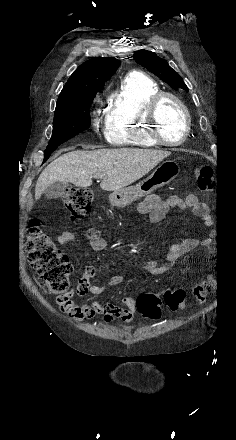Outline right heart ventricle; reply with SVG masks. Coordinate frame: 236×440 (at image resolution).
Listing matches in <instances>:
<instances>
[{
	"label": "right heart ventricle",
	"instance_id": "obj_1",
	"mask_svg": "<svg viewBox=\"0 0 236 440\" xmlns=\"http://www.w3.org/2000/svg\"><path fill=\"white\" fill-rule=\"evenodd\" d=\"M160 87L143 73H129L109 98L105 136L114 146L151 148L158 144L150 137L145 120L149 100Z\"/></svg>",
	"mask_w": 236,
	"mask_h": 440
}]
</instances>
